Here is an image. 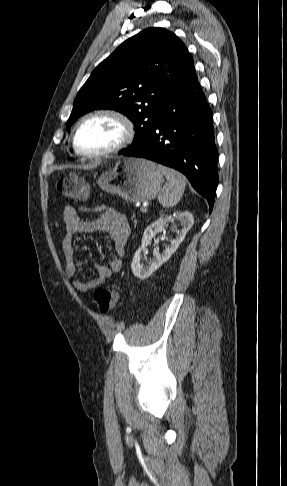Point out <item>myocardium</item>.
<instances>
[{
    "label": "myocardium",
    "mask_w": 287,
    "mask_h": 486,
    "mask_svg": "<svg viewBox=\"0 0 287 486\" xmlns=\"http://www.w3.org/2000/svg\"><path fill=\"white\" fill-rule=\"evenodd\" d=\"M96 117H108L118 122L122 130L121 138L114 146L106 150L93 153L84 152L77 145V133L84 123ZM134 135V124L127 115L115 109H98L85 114L75 124L72 132V147L75 153L81 157L88 159L103 158L126 148L133 141Z\"/></svg>",
    "instance_id": "myocardium-1"
}]
</instances>
